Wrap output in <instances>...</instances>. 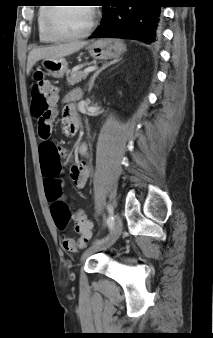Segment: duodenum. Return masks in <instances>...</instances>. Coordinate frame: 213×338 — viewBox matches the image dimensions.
Wrapping results in <instances>:
<instances>
[{
	"label": "duodenum",
	"instance_id": "1",
	"mask_svg": "<svg viewBox=\"0 0 213 338\" xmlns=\"http://www.w3.org/2000/svg\"><path fill=\"white\" fill-rule=\"evenodd\" d=\"M78 128V121L76 119L72 120L70 123V134H74Z\"/></svg>",
	"mask_w": 213,
	"mask_h": 338
}]
</instances>
